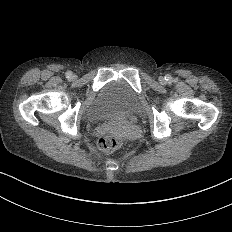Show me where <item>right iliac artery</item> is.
Segmentation results:
<instances>
[{
	"instance_id": "1",
	"label": "right iliac artery",
	"mask_w": 232,
	"mask_h": 232,
	"mask_svg": "<svg viewBox=\"0 0 232 232\" xmlns=\"http://www.w3.org/2000/svg\"><path fill=\"white\" fill-rule=\"evenodd\" d=\"M65 75H66V78H71L72 72H71V71H67V72L65 73Z\"/></svg>"
}]
</instances>
